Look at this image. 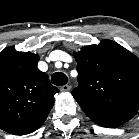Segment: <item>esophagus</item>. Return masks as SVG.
<instances>
[{"label":"esophagus","mask_w":139,"mask_h":139,"mask_svg":"<svg viewBox=\"0 0 139 139\" xmlns=\"http://www.w3.org/2000/svg\"><path fill=\"white\" fill-rule=\"evenodd\" d=\"M71 89V87L69 85H63L60 87V91L62 92H67Z\"/></svg>","instance_id":"1"}]
</instances>
